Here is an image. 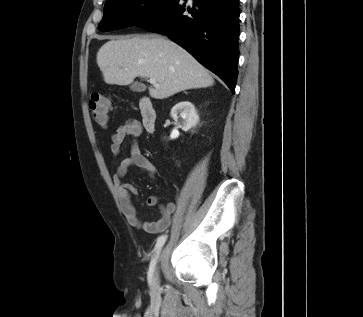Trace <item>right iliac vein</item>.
Returning a JSON list of instances; mask_svg holds the SVG:
<instances>
[{"label":"right iliac vein","mask_w":363,"mask_h":317,"mask_svg":"<svg viewBox=\"0 0 363 317\" xmlns=\"http://www.w3.org/2000/svg\"><path fill=\"white\" fill-rule=\"evenodd\" d=\"M162 258V254L160 253L157 258H156V262H155V267H154V272L151 278V286L153 290H156L158 288L159 285V270H158V264L160 262Z\"/></svg>","instance_id":"right-iliac-vein-1"}]
</instances>
